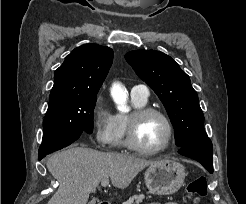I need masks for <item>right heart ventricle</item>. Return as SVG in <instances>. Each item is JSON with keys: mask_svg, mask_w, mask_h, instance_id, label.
Wrapping results in <instances>:
<instances>
[{"mask_svg": "<svg viewBox=\"0 0 246 204\" xmlns=\"http://www.w3.org/2000/svg\"><path fill=\"white\" fill-rule=\"evenodd\" d=\"M147 101H143L132 97V104L135 109L145 107ZM128 115L118 113L115 115L114 128L110 144L113 147H124L126 146V129H127Z\"/></svg>", "mask_w": 246, "mask_h": 204, "instance_id": "e07e8e85", "label": "right heart ventricle"}]
</instances>
